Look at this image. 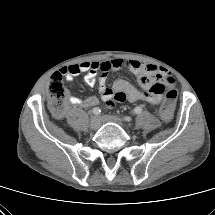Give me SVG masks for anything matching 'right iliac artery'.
<instances>
[{
    "instance_id": "right-iliac-artery-1",
    "label": "right iliac artery",
    "mask_w": 215,
    "mask_h": 215,
    "mask_svg": "<svg viewBox=\"0 0 215 215\" xmlns=\"http://www.w3.org/2000/svg\"><path fill=\"white\" fill-rule=\"evenodd\" d=\"M93 113H94L95 115H100V113H101L100 108H98V107L94 108V109H93Z\"/></svg>"
}]
</instances>
